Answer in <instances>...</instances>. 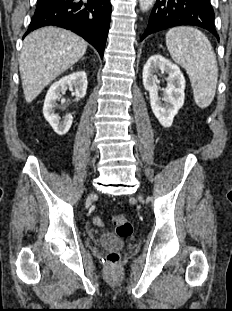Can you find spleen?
<instances>
[{
	"instance_id": "3e777b00",
	"label": "spleen",
	"mask_w": 232,
	"mask_h": 311,
	"mask_svg": "<svg viewBox=\"0 0 232 311\" xmlns=\"http://www.w3.org/2000/svg\"><path fill=\"white\" fill-rule=\"evenodd\" d=\"M166 45L172 59L186 69L196 104L208 107L218 80L217 60L208 38L193 27H174L166 33Z\"/></svg>"
}]
</instances>
